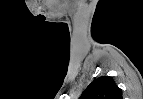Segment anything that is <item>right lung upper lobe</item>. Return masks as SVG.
Returning a JSON list of instances; mask_svg holds the SVG:
<instances>
[{
  "label": "right lung upper lobe",
  "mask_w": 143,
  "mask_h": 99,
  "mask_svg": "<svg viewBox=\"0 0 143 99\" xmlns=\"http://www.w3.org/2000/svg\"><path fill=\"white\" fill-rule=\"evenodd\" d=\"M80 99H122V90L112 77L101 76L89 84Z\"/></svg>",
  "instance_id": "cb5924a9"
}]
</instances>
